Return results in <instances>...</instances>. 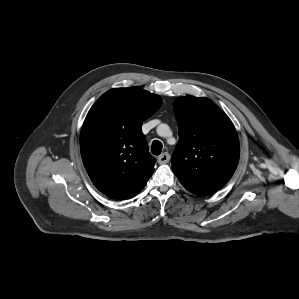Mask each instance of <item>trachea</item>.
<instances>
[{"mask_svg": "<svg viewBox=\"0 0 299 299\" xmlns=\"http://www.w3.org/2000/svg\"><path fill=\"white\" fill-rule=\"evenodd\" d=\"M162 143L158 140H154L152 142V146H151V152L154 154V155H159L162 151Z\"/></svg>", "mask_w": 299, "mask_h": 299, "instance_id": "obj_1", "label": "trachea"}]
</instances>
